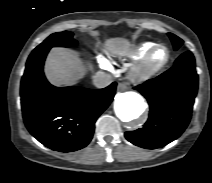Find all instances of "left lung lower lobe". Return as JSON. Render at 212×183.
I'll list each match as a JSON object with an SVG mask.
<instances>
[{"label":"left lung lower lobe","instance_id":"obj_1","mask_svg":"<svg viewBox=\"0 0 212 183\" xmlns=\"http://www.w3.org/2000/svg\"><path fill=\"white\" fill-rule=\"evenodd\" d=\"M135 89L147 99L150 114L143 128L125 133L127 140L155 149L177 139L189 124L198 89L192 53H183L172 68Z\"/></svg>","mask_w":212,"mask_h":183}]
</instances>
